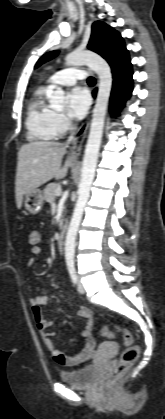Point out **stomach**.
Instances as JSON below:
<instances>
[{
	"mask_svg": "<svg viewBox=\"0 0 165 419\" xmlns=\"http://www.w3.org/2000/svg\"><path fill=\"white\" fill-rule=\"evenodd\" d=\"M25 209L31 214H37L42 210L44 203V196L41 190L35 189L34 191L26 194L23 198Z\"/></svg>",
	"mask_w": 165,
	"mask_h": 419,
	"instance_id": "obj_1",
	"label": "stomach"
}]
</instances>
